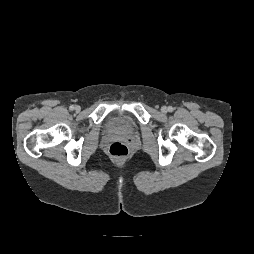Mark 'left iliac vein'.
Listing matches in <instances>:
<instances>
[{"label":"left iliac vein","instance_id":"1","mask_svg":"<svg viewBox=\"0 0 254 254\" xmlns=\"http://www.w3.org/2000/svg\"><path fill=\"white\" fill-rule=\"evenodd\" d=\"M161 111H162L163 113H166V112H167V108H166V107H162Z\"/></svg>","mask_w":254,"mask_h":254}]
</instances>
